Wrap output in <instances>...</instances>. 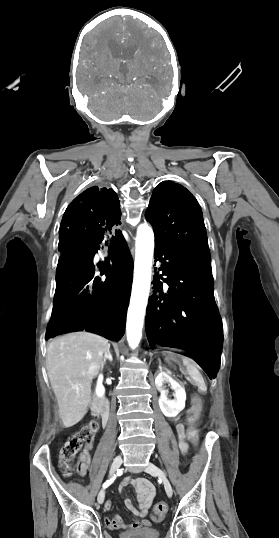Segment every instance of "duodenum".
Wrapping results in <instances>:
<instances>
[{
    "label": "duodenum",
    "mask_w": 279,
    "mask_h": 538,
    "mask_svg": "<svg viewBox=\"0 0 279 538\" xmlns=\"http://www.w3.org/2000/svg\"><path fill=\"white\" fill-rule=\"evenodd\" d=\"M98 386H101V383H98ZM104 399H107V396H93L92 402L89 406L91 413H93V418H98V413L102 414V418L100 419L101 424H99V427L102 429H105L107 427L106 423H109V414L105 407H108L110 402Z\"/></svg>",
    "instance_id": "410a0bca"
}]
</instances>
